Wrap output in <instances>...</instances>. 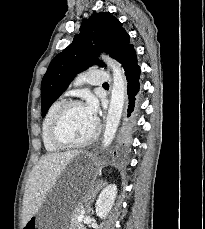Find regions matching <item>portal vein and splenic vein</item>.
I'll list each match as a JSON object with an SVG mask.
<instances>
[{
    "instance_id": "18ae733b",
    "label": "portal vein and splenic vein",
    "mask_w": 205,
    "mask_h": 229,
    "mask_svg": "<svg viewBox=\"0 0 205 229\" xmlns=\"http://www.w3.org/2000/svg\"><path fill=\"white\" fill-rule=\"evenodd\" d=\"M83 218V216H78V220H81Z\"/></svg>"
}]
</instances>
